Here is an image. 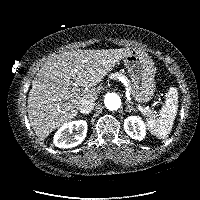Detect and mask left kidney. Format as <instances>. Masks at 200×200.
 <instances>
[{"label":"left kidney","instance_id":"5707ae66","mask_svg":"<svg viewBox=\"0 0 200 200\" xmlns=\"http://www.w3.org/2000/svg\"><path fill=\"white\" fill-rule=\"evenodd\" d=\"M125 132L135 140H143L146 135V126L139 116H129L124 120Z\"/></svg>","mask_w":200,"mask_h":200}]
</instances>
